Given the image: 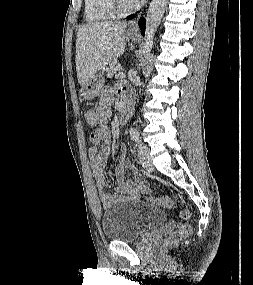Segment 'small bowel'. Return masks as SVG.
Returning <instances> with one entry per match:
<instances>
[{"label":"small bowel","instance_id":"1","mask_svg":"<svg viewBox=\"0 0 253 285\" xmlns=\"http://www.w3.org/2000/svg\"><path fill=\"white\" fill-rule=\"evenodd\" d=\"M115 92L121 94L123 99L129 96L128 90L124 87H119L117 90L105 88L102 91L100 103L96 110L101 125L92 132L90 136V147L88 149L92 174L104 208H108L121 201H136L140 198L141 194L150 192V188L145 181L139 178L129 180L124 179L125 169L128 165L124 155L115 171L117 194H109L106 192L108 183L104 175V170L110 154L111 139L110 133L106 127V122L111 115V104ZM123 151H125V147H123Z\"/></svg>","mask_w":253,"mask_h":285}]
</instances>
